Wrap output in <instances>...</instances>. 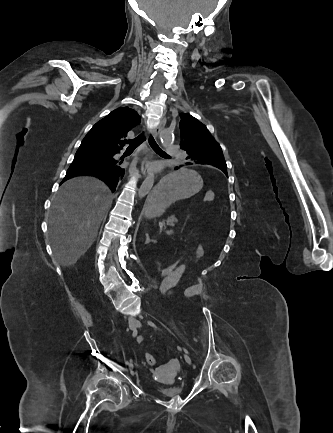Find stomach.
<instances>
[{"label":"stomach","mask_w":333,"mask_h":433,"mask_svg":"<svg viewBox=\"0 0 333 433\" xmlns=\"http://www.w3.org/2000/svg\"><path fill=\"white\" fill-rule=\"evenodd\" d=\"M201 188L198 169H172L170 174L160 177V183L152 186V193L144 208L145 220H161L173 202L190 199Z\"/></svg>","instance_id":"stomach-1"}]
</instances>
